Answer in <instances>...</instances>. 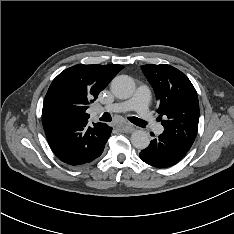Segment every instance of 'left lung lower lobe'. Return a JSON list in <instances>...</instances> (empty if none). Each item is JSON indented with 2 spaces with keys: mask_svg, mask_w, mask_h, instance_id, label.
I'll use <instances>...</instances> for the list:
<instances>
[{
  "mask_svg": "<svg viewBox=\"0 0 234 234\" xmlns=\"http://www.w3.org/2000/svg\"><path fill=\"white\" fill-rule=\"evenodd\" d=\"M186 153L184 148L162 133L153 139L149 146L139 153V156L142 161L151 166L166 168L175 165Z\"/></svg>",
  "mask_w": 234,
  "mask_h": 234,
  "instance_id": "left-lung-lower-lobe-1",
  "label": "left lung lower lobe"
}]
</instances>
